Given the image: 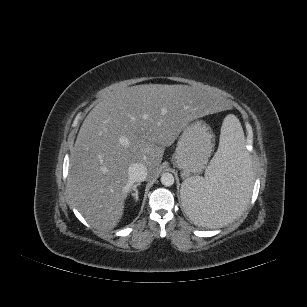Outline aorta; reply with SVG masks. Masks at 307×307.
I'll return each instance as SVG.
<instances>
[{
	"mask_svg": "<svg viewBox=\"0 0 307 307\" xmlns=\"http://www.w3.org/2000/svg\"><path fill=\"white\" fill-rule=\"evenodd\" d=\"M160 180H161L162 185L167 186V187L172 186L174 184V176L168 172L163 173L161 175Z\"/></svg>",
	"mask_w": 307,
	"mask_h": 307,
	"instance_id": "obj_1",
	"label": "aorta"
}]
</instances>
